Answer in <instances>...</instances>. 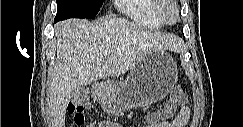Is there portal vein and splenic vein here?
<instances>
[{
	"instance_id": "portal-vein-and-splenic-vein-1",
	"label": "portal vein and splenic vein",
	"mask_w": 243,
	"mask_h": 127,
	"mask_svg": "<svg viewBox=\"0 0 243 127\" xmlns=\"http://www.w3.org/2000/svg\"><path fill=\"white\" fill-rule=\"evenodd\" d=\"M110 53H111L110 50H104V51H103V54H104V55H109Z\"/></svg>"
}]
</instances>
